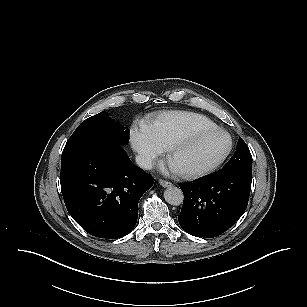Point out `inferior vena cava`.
<instances>
[{"label": "inferior vena cava", "instance_id": "602c4592", "mask_svg": "<svg viewBox=\"0 0 307 307\" xmlns=\"http://www.w3.org/2000/svg\"><path fill=\"white\" fill-rule=\"evenodd\" d=\"M135 161L136 164L143 169L150 170L153 168L152 159L147 156L137 155Z\"/></svg>", "mask_w": 307, "mask_h": 307}]
</instances>
